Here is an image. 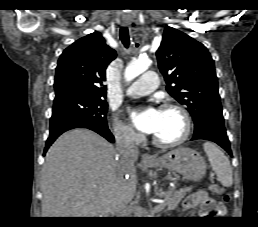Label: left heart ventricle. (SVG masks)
I'll return each instance as SVG.
<instances>
[{
	"mask_svg": "<svg viewBox=\"0 0 258 227\" xmlns=\"http://www.w3.org/2000/svg\"><path fill=\"white\" fill-rule=\"evenodd\" d=\"M184 130V123L181 115L174 110H160L159 121L155 132L158 139L172 141L181 136Z\"/></svg>",
	"mask_w": 258,
	"mask_h": 227,
	"instance_id": "b2bd125f",
	"label": "left heart ventricle"
}]
</instances>
